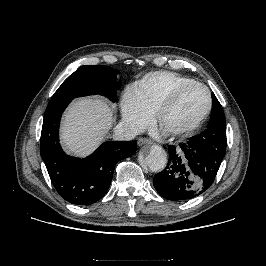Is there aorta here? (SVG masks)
<instances>
[{
    "label": "aorta",
    "mask_w": 266,
    "mask_h": 266,
    "mask_svg": "<svg viewBox=\"0 0 266 266\" xmlns=\"http://www.w3.org/2000/svg\"><path fill=\"white\" fill-rule=\"evenodd\" d=\"M144 163L153 172L163 170L167 164V154L159 145H152L144 158Z\"/></svg>",
    "instance_id": "obj_1"
}]
</instances>
